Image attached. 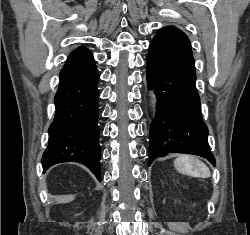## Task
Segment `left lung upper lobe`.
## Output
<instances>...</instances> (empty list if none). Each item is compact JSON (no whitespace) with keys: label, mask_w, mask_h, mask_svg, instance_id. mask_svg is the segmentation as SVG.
Returning <instances> with one entry per match:
<instances>
[{"label":"left lung upper lobe","mask_w":250,"mask_h":235,"mask_svg":"<svg viewBox=\"0 0 250 235\" xmlns=\"http://www.w3.org/2000/svg\"><path fill=\"white\" fill-rule=\"evenodd\" d=\"M162 29H175V30L180 31L179 29H177L176 27H173V26H166V27H164Z\"/></svg>","instance_id":"1"}]
</instances>
